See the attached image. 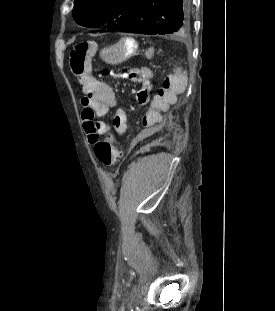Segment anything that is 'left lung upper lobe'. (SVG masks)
<instances>
[{
	"instance_id": "left-lung-upper-lobe-1",
	"label": "left lung upper lobe",
	"mask_w": 275,
	"mask_h": 311,
	"mask_svg": "<svg viewBox=\"0 0 275 311\" xmlns=\"http://www.w3.org/2000/svg\"><path fill=\"white\" fill-rule=\"evenodd\" d=\"M142 0H75L73 17L86 27L106 25L108 31L119 29L136 11Z\"/></svg>"
}]
</instances>
